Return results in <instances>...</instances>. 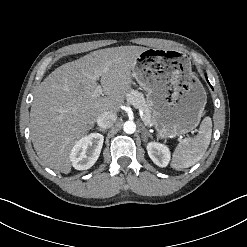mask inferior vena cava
Masks as SVG:
<instances>
[{"mask_svg": "<svg viewBox=\"0 0 247 247\" xmlns=\"http://www.w3.org/2000/svg\"><path fill=\"white\" fill-rule=\"evenodd\" d=\"M117 120V115L113 112L106 111L100 114L97 118V124L100 128L107 129L114 125Z\"/></svg>", "mask_w": 247, "mask_h": 247, "instance_id": "602c4592", "label": "inferior vena cava"}]
</instances>
